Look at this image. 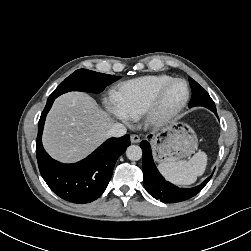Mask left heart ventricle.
<instances>
[{
	"label": "left heart ventricle",
	"mask_w": 251,
	"mask_h": 251,
	"mask_svg": "<svg viewBox=\"0 0 251 251\" xmlns=\"http://www.w3.org/2000/svg\"><path fill=\"white\" fill-rule=\"evenodd\" d=\"M185 96V86L182 83L173 84L166 92L163 100V106L170 109L178 105Z\"/></svg>",
	"instance_id": "1"
}]
</instances>
